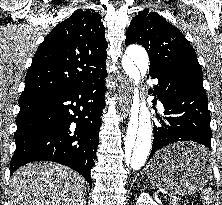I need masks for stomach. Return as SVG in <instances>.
I'll use <instances>...</instances> for the list:
<instances>
[{
	"label": "stomach",
	"instance_id": "obj_1",
	"mask_svg": "<svg viewBox=\"0 0 222 205\" xmlns=\"http://www.w3.org/2000/svg\"><path fill=\"white\" fill-rule=\"evenodd\" d=\"M188 151H204V147L182 142L168 146L159 152L146 167V174L151 183L160 189L176 194H193L207 183L210 164L184 165L178 157Z\"/></svg>",
	"mask_w": 222,
	"mask_h": 205
}]
</instances>
